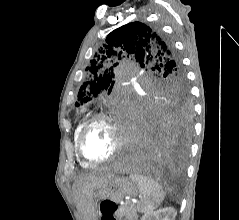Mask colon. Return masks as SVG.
Instances as JSON below:
<instances>
[{
  "mask_svg": "<svg viewBox=\"0 0 239 220\" xmlns=\"http://www.w3.org/2000/svg\"><path fill=\"white\" fill-rule=\"evenodd\" d=\"M118 204L112 200H104L100 205L102 220H116L115 212Z\"/></svg>",
  "mask_w": 239,
  "mask_h": 220,
  "instance_id": "obj_1",
  "label": "colon"
}]
</instances>
